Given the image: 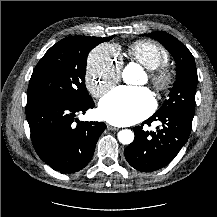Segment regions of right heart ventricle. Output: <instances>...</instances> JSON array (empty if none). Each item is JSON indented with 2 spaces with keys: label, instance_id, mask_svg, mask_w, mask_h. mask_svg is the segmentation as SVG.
Listing matches in <instances>:
<instances>
[{
  "label": "right heart ventricle",
  "instance_id": "e07e8e85",
  "mask_svg": "<svg viewBox=\"0 0 217 217\" xmlns=\"http://www.w3.org/2000/svg\"><path fill=\"white\" fill-rule=\"evenodd\" d=\"M129 57L148 70L161 67L169 61L167 50L151 40H138L132 43L127 50Z\"/></svg>",
  "mask_w": 217,
  "mask_h": 217
}]
</instances>
